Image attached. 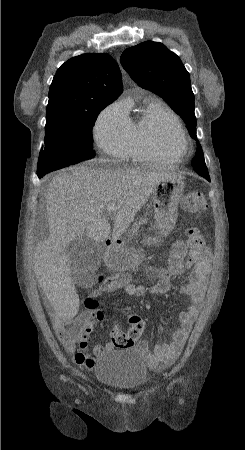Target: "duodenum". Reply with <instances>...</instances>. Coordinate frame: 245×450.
I'll return each mask as SVG.
<instances>
[{
  "instance_id": "duodenum-1",
  "label": "duodenum",
  "mask_w": 245,
  "mask_h": 450,
  "mask_svg": "<svg viewBox=\"0 0 245 450\" xmlns=\"http://www.w3.org/2000/svg\"><path fill=\"white\" fill-rule=\"evenodd\" d=\"M106 241L112 250H116L119 247V243H120L119 238H109Z\"/></svg>"
}]
</instances>
